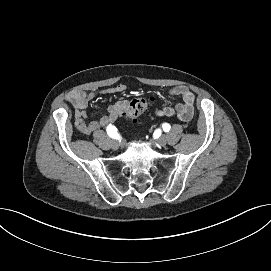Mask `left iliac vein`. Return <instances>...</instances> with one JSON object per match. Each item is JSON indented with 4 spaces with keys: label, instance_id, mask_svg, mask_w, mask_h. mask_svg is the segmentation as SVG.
Masks as SVG:
<instances>
[{
    "label": "left iliac vein",
    "instance_id": "1",
    "mask_svg": "<svg viewBox=\"0 0 271 271\" xmlns=\"http://www.w3.org/2000/svg\"><path fill=\"white\" fill-rule=\"evenodd\" d=\"M157 144H159L160 146H165L167 143V138L166 136H160L157 140H156Z\"/></svg>",
    "mask_w": 271,
    "mask_h": 271
}]
</instances>
